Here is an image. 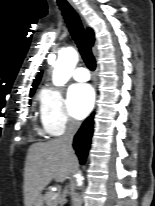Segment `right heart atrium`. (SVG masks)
<instances>
[{"instance_id":"right-heart-atrium-1","label":"right heart atrium","mask_w":155,"mask_h":206,"mask_svg":"<svg viewBox=\"0 0 155 206\" xmlns=\"http://www.w3.org/2000/svg\"><path fill=\"white\" fill-rule=\"evenodd\" d=\"M40 119L50 135H60L78 125V121L69 112L62 93L55 88H47L41 95Z\"/></svg>"}]
</instances>
